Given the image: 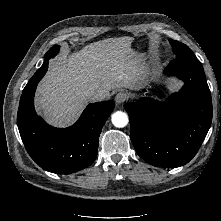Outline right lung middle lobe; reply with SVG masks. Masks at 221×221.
<instances>
[{"instance_id":"dd1d6c3e","label":"right lung middle lobe","mask_w":221,"mask_h":221,"mask_svg":"<svg viewBox=\"0 0 221 221\" xmlns=\"http://www.w3.org/2000/svg\"><path fill=\"white\" fill-rule=\"evenodd\" d=\"M59 51V46H53L44 56V63L42 66H46L48 64V60L53 58Z\"/></svg>"}]
</instances>
